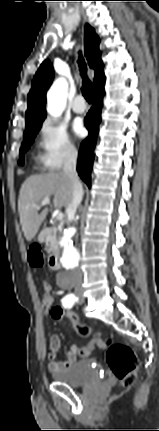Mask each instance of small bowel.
<instances>
[{"mask_svg": "<svg viewBox=\"0 0 159 431\" xmlns=\"http://www.w3.org/2000/svg\"><path fill=\"white\" fill-rule=\"evenodd\" d=\"M43 289H44V296L42 298V307L45 311H50V314L52 315V309H54V305L52 308L47 307L46 298L49 295H52L53 287L50 283L44 281L43 282ZM53 296V295H52ZM54 297V296H53ZM55 298V297H54ZM55 302V301H54ZM76 311L80 312V310L76 309ZM81 314V312H80ZM91 344V342L89 343ZM96 344V343H95ZM79 348H85V347H78L77 345H71L66 353L65 359L63 361H58V353L60 350V340L59 337L56 334H52L50 336V342L49 347L47 350V358L49 360V368L53 371L60 370L67 368L71 366L73 363L76 362L78 355V349Z\"/></svg>", "mask_w": 159, "mask_h": 431, "instance_id": "obj_1", "label": "small bowel"}]
</instances>
